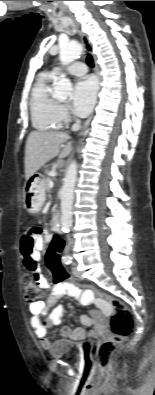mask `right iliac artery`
<instances>
[{
	"mask_svg": "<svg viewBox=\"0 0 155 395\" xmlns=\"http://www.w3.org/2000/svg\"><path fill=\"white\" fill-rule=\"evenodd\" d=\"M63 262L65 264H70L72 262V258L70 256H64L63 257Z\"/></svg>",
	"mask_w": 155,
	"mask_h": 395,
	"instance_id": "right-iliac-artery-1",
	"label": "right iliac artery"
}]
</instances>
